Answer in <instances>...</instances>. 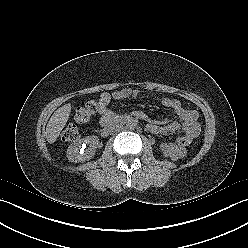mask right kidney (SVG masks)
Listing matches in <instances>:
<instances>
[{
    "label": "right kidney",
    "instance_id": "obj_1",
    "mask_svg": "<svg viewBox=\"0 0 248 248\" xmlns=\"http://www.w3.org/2000/svg\"><path fill=\"white\" fill-rule=\"evenodd\" d=\"M98 144L99 139L95 135L79 139L69 146L67 158L71 162H84L89 160L95 155ZM86 146H88L87 149H85Z\"/></svg>",
    "mask_w": 248,
    "mask_h": 248
}]
</instances>
